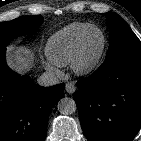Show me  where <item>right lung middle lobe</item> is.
I'll list each match as a JSON object with an SVG mask.
<instances>
[{"label": "right lung middle lobe", "mask_w": 141, "mask_h": 141, "mask_svg": "<svg viewBox=\"0 0 141 141\" xmlns=\"http://www.w3.org/2000/svg\"><path fill=\"white\" fill-rule=\"evenodd\" d=\"M43 22V17L22 16L9 22L0 23V48L6 47L9 42L17 37L32 33Z\"/></svg>", "instance_id": "dd1d6c3e"}]
</instances>
